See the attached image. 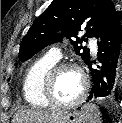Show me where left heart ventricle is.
Here are the masks:
<instances>
[{"mask_svg": "<svg viewBox=\"0 0 122 123\" xmlns=\"http://www.w3.org/2000/svg\"><path fill=\"white\" fill-rule=\"evenodd\" d=\"M82 88V79L80 74L73 69H65L58 73L53 93L55 98L61 102L73 100Z\"/></svg>", "mask_w": 122, "mask_h": 123, "instance_id": "obj_1", "label": "left heart ventricle"}]
</instances>
